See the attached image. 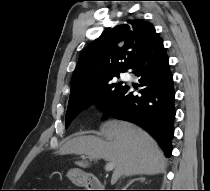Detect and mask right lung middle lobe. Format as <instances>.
I'll return each instance as SVG.
<instances>
[{
  "label": "right lung middle lobe",
  "instance_id": "right-lung-middle-lobe-1",
  "mask_svg": "<svg viewBox=\"0 0 210 191\" xmlns=\"http://www.w3.org/2000/svg\"><path fill=\"white\" fill-rule=\"evenodd\" d=\"M120 73L111 74L100 81L87 93L69 99L65 127L67 128L74 117L82 110L96 104L102 111H105L108 105L124 89L122 82L114 83L115 77Z\"/></svg>",
  "mask_w": 210,
  "mask_h": 191
}]
</instances>
